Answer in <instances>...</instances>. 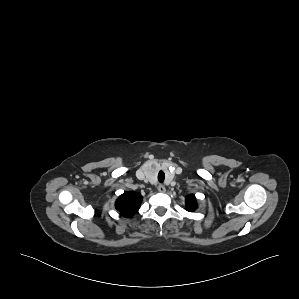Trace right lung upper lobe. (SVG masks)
Wrapping results in <instances>:
<instances>
[{
	"instance_id": "cb5924a9",
	"label": "right lung upper lobe",
	"mask_w": 299,
	"mask_h": 299,
	"mask_svg": "<svg viewBox=\"0 0 299 299\" xmlns=\"http://www.w3.org/2000/svg\"><path fill=\"white\" fill-rule=\"evenodd\" d=\"M142 195L137 192H125L116 201V209L125 217H132L140 208Z\"/></svg>"
}]
</instances>
